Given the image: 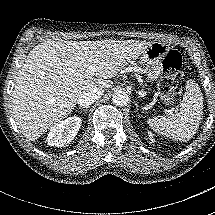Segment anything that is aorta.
Instances as JSON below:
<instances>
[{
	"label": "aorta",
	"mask_w": 215,
	"mask_h": 215,
	"mask_svg": "<svg viewBox=\"0 0 215 215\" xmlns=\"http://www.w3.org/2000/svg\"><path fill=\"white\" fill-rule=\"evenodd\" d=\"M129 100V94L124 90H118L112 96V102L117 106H124Z\"/></svg>",
	"instance_id": "aorta-1"
}]
</instances>
